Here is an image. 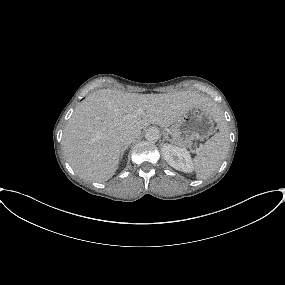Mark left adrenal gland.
<instances>
[{
    "mask_svg": "<svg viewBox=\"0 0 285 285\" xmlns=\"http://www.w3.org/2000/svg\"><path fill=\"white\" fill-rule=\"evenodd\" d=\"M165 140H166V141H168V140H169V138H168L167 136H165V137H164V141H165Z\"/></svg>",
    "mask_w": 285,
    "mask_h": 285,
    "instance_id": "1",
    "label": "left adrenal gland"
}]
</instances>
